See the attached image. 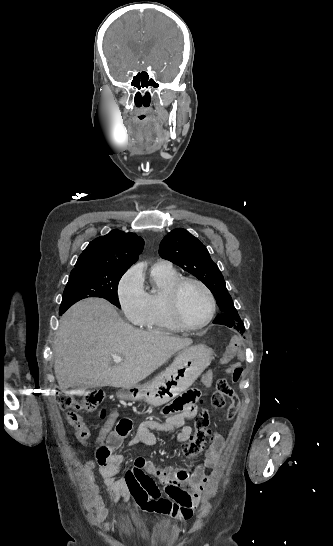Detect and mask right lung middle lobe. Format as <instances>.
Masks as SVG:
<instances>
[{
	"label": "right lung middle lobe",
	"mask_w": 333,
	"mask_h": 546,
	"mask_svg": "<svg viewBox=\"0 0 333 546\" xmlns=\"http://www.w3.org/2000/svg\"><path fill=\"white\" fill-rule=\"evenodd\" d=\"M126 271L99 266L85 270L82 274L70 275L60 311H66L77 301L88 297L104 298L120 308L117 287Z\"/></svg>",
	"instance_id": "1"
}]
</instances>
